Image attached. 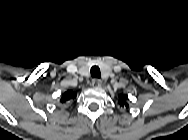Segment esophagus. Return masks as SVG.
I'll list each match as a JSON object with an SVG mask.
<instances>
[{"mask_svg": "<svg viewBox=\"0 0 188 140\" xmlns=\"http://www.w3.org/2000/svg\"><path fill=\"white\" fill-rule=\"evenodd\" d=\"M101 85H102V81L101 80H99L97 78L92 80V86L100 87Z\"/></svg>", "mask_w": 188, "mask_h": 140, "instance_id": "1", "label": "esophagus"}]
</instances>
